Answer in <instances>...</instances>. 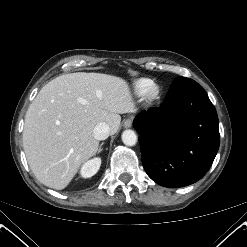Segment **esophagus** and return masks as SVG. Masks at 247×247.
I'll use <instances>...</instances> for the list:
<instances>
[{
    "label": "esophagus",
    "mask_w": 247,
    "mask_h": 247,
    "mask_svg": "<svg viewBox=\"0 0 247 247\" xmlns=\"http://www.w3.org/2000/svg\"><path fill=\"white\" fill-rule=\"evenodd\" d=\"M132 122H133V119L132 118H127L124 123H123V126L125 128H130L132 126Z\"/></svg>",
    "instance_id": "esophagus-1"
}]
</instances>
